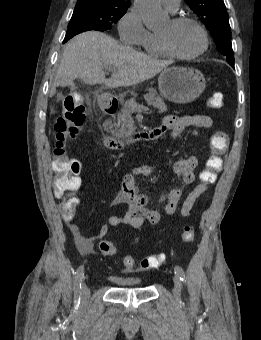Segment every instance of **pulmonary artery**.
<instances>
[{
    "mask_svg": "<svg viewBox=\"0 0 261 340\" xmlns=\"http://www.w3.org/2000/svg\"><path fill=\"white\" fill-rule=\"evenodd\" d=\"M161 4L166 7L169 11L175 12L179 7L181 0H160Z\"/></svg>",
    "mask_w": 261,
    "mask_h": 340,
    "instance_id": "obj_1",
    "label": "pulmonary artery"
}]
</instances>
